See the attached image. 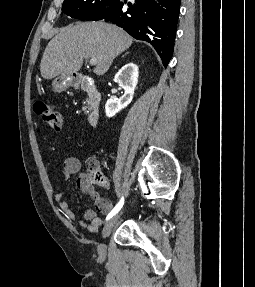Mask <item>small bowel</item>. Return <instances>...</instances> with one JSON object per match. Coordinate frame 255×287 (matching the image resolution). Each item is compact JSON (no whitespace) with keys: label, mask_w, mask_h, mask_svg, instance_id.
Here are the masks:
<instances>
[{"label":"small bowel","mask_w":255,"mask_h":287,"mask_svg":"<svg viewBox=\"0 0 255 287\" xmlns=\"http://www.w3.org/2000/svg\"><path fill=\"white\" fill-rule=\"evenodd\" d=\"M62 173L64 180L76 177L78 188L83 193L90 196L96 206L95 211L88 210L85 213L83 220H77L74 212L71 210L68 202L64 198V193L59 192L55 194V201L57 202L61 213L64 215L65 220L71 224H78L90 232H97L103 224L102 219L98 217L97 213L106 214L110 210L108 201L88 182L86 175L82 172V166L79 159L75 157L66 158L63 163Z\"/></svg>","instance_id":"1"}]
</instances>
